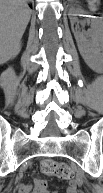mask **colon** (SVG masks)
Wrapping results in <instances>:
<instances>
[{"mask_svg": "<svg viewBox=\"0 0 103 193\" xmlns=\"http://www.w3.org/2000/svg\"><path fill=\"white\" fill-rule=\"evenodd\" d=\"M44 174L55 176L61 180H70L74 176V170L66 163L57 162L53 159H45L41 164Z\"/></svg>", "mask_w": 103, "mask_h": 193, "instance_id": "5ec220e1", "label": "colon"}]
</instances>
